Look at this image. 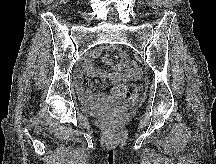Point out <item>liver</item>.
Segmentation results:
<instances>
[{
    "mask_svg": "<svg viewBox=\"0 0 216 164\" xmlns=\"http://www.w3.org/2000/svg\"><path fill=\"white\" fill-rule=\"evenodd\" d=\"M54 0H42V3L44 5H48V4H51Z\"/></svg>",
    "mask_w": 216,
    "mask_h": 164,
    "instance_id": "liver-1",
    "label": "liver"
}]
</instances>
